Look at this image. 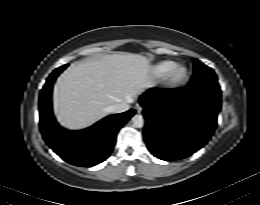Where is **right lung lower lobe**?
I'll list each match as a JSON object with an SVG mask.
<instances>
[{"label": "right lung lower lobe", "mask_w": 260, "mask_h": 205, "mask_svg": "<svg viewBox=\"0 0 260 205\" xmlns=\"http://www.w3.org/2000/svg\"><path fill=\"white\" fill-rule=\"evenodd\" d=\"M65 68L64 65L54 70L41 90L39 97L41 132L48 146L63 160L80 167H91L103 162L110 155L117 132L133 116L135 110L107 116L81 131L62 128L52 113L51 91L56 77Z\"/></svg>", "instance_id": "obj_1"}]
</instances>
